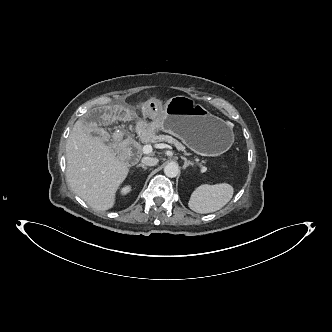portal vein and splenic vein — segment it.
<instances>
[{"label": "portal vein and splenic vein", "mask_w": 332, "mask_h": 332, "mask_svg": "<svg viewBox=\"0 0 332 332\" xmlns=\"http://www.w3.org/2000/svg\"><path fill=\"white\" fill-rule=\"evenodd\" d=\"M155 147L158 149H163V148H168L169 146L161 143L157 144ZM142 151L144 154H150L153 151V147L151 145H144Z\"/></svg>", "instance_id": "portal-vein-and-splenic-vein-1"}]
</instances>
